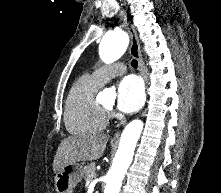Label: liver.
Wrapping results in <instances>:
<instances>
[{
  "label": "liver",
  "instance_id": "6515ba94",
  "mask_svg": "<svg viewBox=\"0 0 221 193\" xmlns=\"http://www.w3.org/2000/svg\"><path fill=\"white\" fill-rule=\"evenodd\" d=\"M109 137L104 134L75 135L62 140L53 160L56 173L69 164L99 159L106 148Z\"/></svg>",
  "mask_w": 221,
  "mask_h": 193
}]
</instances>
